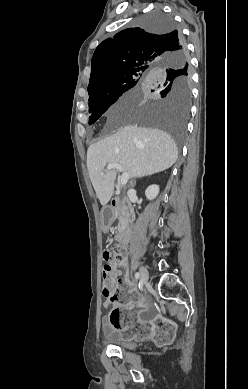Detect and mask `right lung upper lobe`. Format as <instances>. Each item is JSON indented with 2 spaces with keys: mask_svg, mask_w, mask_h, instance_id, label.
Listing matches in <instances>:
<instances>
[{
  "mask_svg": "<svg viewBox=\"0 0 248 389\" xmlns=\"http://www.w3.org/2000/svg\"><path fill=\"white\" fill-rule=\"evenodd\" d=\"M180 35L176 29L152 32L133 27L104 40L92 57L88 94L108 86L122 74L150 71L172 57L188 61L184 42L178 48Z\"/></svg>",
  "mask_w": 248,
  "mask_h": 389,
  "instance_id": "1",
  "label": "right lung upper lobe"
}]
</instances>
